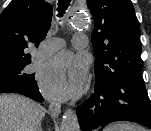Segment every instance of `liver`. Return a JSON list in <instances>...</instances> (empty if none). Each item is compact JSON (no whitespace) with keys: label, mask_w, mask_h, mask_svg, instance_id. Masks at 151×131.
Wrapping results in <instances>:
<instances>
[{"label":"liver","mask_w":151,"mask_h":131,"mask_svg":"<svg viewBox=\"0 0 151 131\" xmlns=\"http://www.w3.org/2000/svg\"><path fill=\"white\" fill-rule=\"evenodd\" d=\"M46 110L18 94L0 95V131H40Z\"/></svg>","instance_id":"liver-1"}]
</instances>
